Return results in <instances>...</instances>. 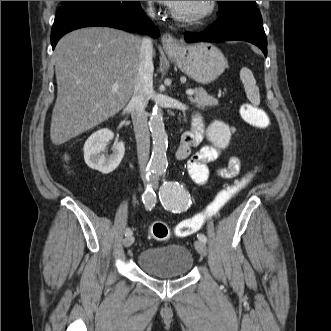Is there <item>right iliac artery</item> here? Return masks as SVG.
I'll return each mask as SVG.
<instances>
[{"label":"right iliac artery","mask_w":331,"mask_h":331,"mask_svg":"<svg viewBox=\"0 0 331 331\" xmlns=\"http://www.w3.org/2000/svg\"><path fill=\"white\" fill-rule=\"evenodd\" d=\"M155 169L153 167H147L146 169V179L149 180L151 173H154ZM143 203L147 210H151L156 203V194L150 185H147L145 192L142 196ZM132 235V230L127 228L125 231V236Z\"/></svg>","instance_id":"obj_1"}]
</instances>
